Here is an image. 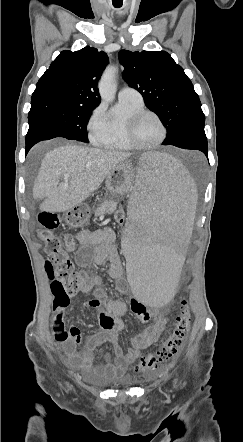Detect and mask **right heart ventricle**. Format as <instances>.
Returning a JSON list of instances; mask_svg holds the SVG:
<instances>
[{
	"label": "right heart ventricle",
	"mask_w": 243,
	"mask_h": 442,
	"mask_svg": "<svg viewBox=\"0 0 243 442\" xmlns=\"http://www.w3.org/2000/svg\"><path fill=\"white\" fill-rule=\"evenodd\" d=\"M145 109L143 101L119 100L115 109L105 116L104 128L92 140L96 145L113 150L134 149L126 137L128 119L136 112Z\"/></svg>",
	"instance_id": "right-heart-ventricle-1"
}]
</instances>
